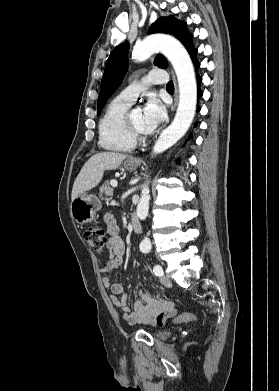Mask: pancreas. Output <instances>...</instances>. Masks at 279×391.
Here are the masks:
<instances>
[{"label":"pancreas","instance_id":"1","mask_svg":"<svg viewBox=\"0 0 279 391\" xmlns=\"http://www.w3.org/2000/svg\"><path fill=\"white\" fill-rule=\"evenodd\" d=\"M100 197L105 200L106 203H109V201L112 198L113 195V189L110 187L109 182H105L100 187Z\"/></svg>","mask_w":279,"mask_h":391}]
</instances>
